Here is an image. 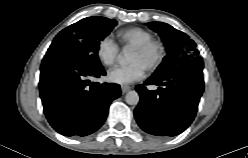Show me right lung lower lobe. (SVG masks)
<instances>
[{"instance_id":"obj_1","label":"right lung lower lobe","mask_w":248,"mask_h":158,"mask_svg":"<svg viewBox=\"0 0 248 158\" xmlns=\"http://www.w3.org/2000/svg\"><path fill=\"white\" fill-rule=\"evenodd\" d=\"M106 75L99 60L60 55L44 57L39 81L44 113L50 125L65 136H86L98 130L110 103L120 96L114 83L90 82Z\"/></svg>"}]
</instances>
